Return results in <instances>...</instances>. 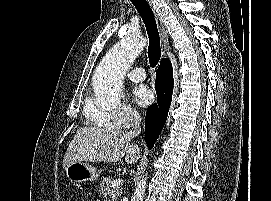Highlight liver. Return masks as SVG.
<instances>
[{"label": "liver", "mask_w": 271, "mask_h": 201, "mask_svg": "<svg viewBox=\"0 0 271 201\" xmlns=\"http://www.w3.org/2000/svg\"><path fill=\"white\" fill-rule=\"evenodd\" d=\"M132 137L125 130L83 127L77 130L63 160L65 169L74 162H118L123 157L127 164L137 163L141 150L131 144Z\"/></svg>", "instance_id": "6515ba94"}]
</instances>
